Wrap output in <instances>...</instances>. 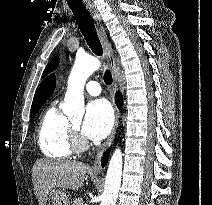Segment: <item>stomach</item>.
I'll return each instance as SVG.
<instances>
[{"instance_id": "obj_1", "label": "stomach", "mask_w": 212, "mask_h": 205, "mask_svg": "<svg viewBox=\"0 0 212 205\" xmlns=\"http://www.w3.org/2000/svg\"><path fill=\"white\" fill-rule=\"evenodd\" d=\"M49 205H70L69 197L64 189L54 190L49 199Z\"/></svg>"}]
</instances>
